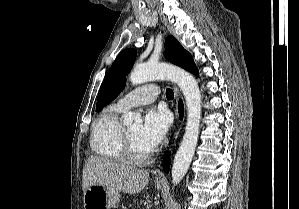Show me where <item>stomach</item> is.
Returning <instances> with one entry per match:
<instances>
[{"mask_svg": "<svg viewBox=\"0 0 299 209\" xmlns=\"http://www.w3.org/2000/svg\"><path fill=\"white\" fill-rule=\"evenodd\" d=\"M163 184L155 182L156 188H162ZM120 201V193L114 188L95 184L84 193V209H110Z\"/></svg>", "mask_w": 299, "mask_h": 209, "instance_id": "0dacf381", "label": "stomach"}]
</instances>
